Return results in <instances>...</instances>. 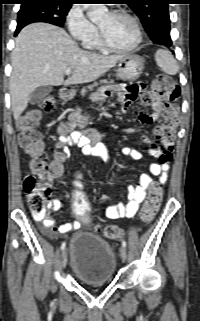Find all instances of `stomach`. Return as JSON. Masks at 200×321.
Returning <instances> with one entry per match:
<instances>
[{
  "mask_svg": "<svg viewBox=\"0 0 200 321\" xmlns=\"http://www.w3.org/2000/svg\"><path fill=\"white\" fill-rule=\"evenodd\" d=\"M144 69V59L138 55H126L118 64L117 77L126 81L139 78Z\"/></svg>",
  "mask_w": 200,
  "mask_h": 321,
  "instance_id": "1",
  "label": "stomach"
}]
</instances>
